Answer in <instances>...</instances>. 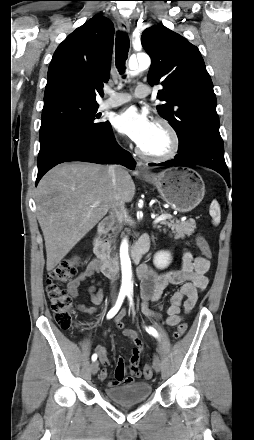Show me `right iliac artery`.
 Returning a JSON list of instances; mask_svg holds the SVG:
<instances>
[{"label":"right iliac artery","instance_id":"obj_1","mask_svg":"<svg viewBox=\"0 0 254 440\" xmlns=\"http://www.w3.org/2000/svg\"><path fill=\"white\" fill-rule=\"evenodd\" d=\"M126 294H127L126 292H120L119 293V296H118V299L116 301L115 306L107 314V318L108 319L114 317L117 314V312L119 311V309H120V307H121V305H122V303H123V301L125 299ZM96 359H97V354H93L92 355V361H95Z\"/></svg>","mask_w":254,"mask_h":440}]
</instances>
